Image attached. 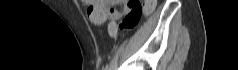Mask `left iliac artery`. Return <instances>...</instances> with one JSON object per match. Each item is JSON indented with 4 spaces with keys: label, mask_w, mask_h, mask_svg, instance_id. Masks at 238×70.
Listing matches in <instances>:
<instances>
[{
    "label": "left iliac artery",
    "mask_w": 238,
    "mask_h": 70,
    "mask_svg": "<svg viewBox=\"0 0 238 70\" xmlns=\"http://www.w3.org/2000/svg\"><path fill=\"white\" fill-rule=\"evenodd\" d=\"M105 70H109V68H108V67H106V68H105Z\"/></svg>",
    "instance_id": "left-iliac-artery-1"
}]
</instances>
